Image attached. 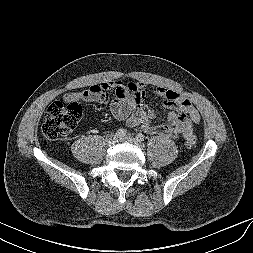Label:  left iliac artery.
I'll use <instances>...</instances> for the list:
<instances>
[{"mask_svg": "<svg viewBox=\"0 0 253 253\" xmlns=\"http://www.w3.org/2000/svg\"><path fill=\"white\" fill-rule=\"evenodd\" d=\"M136 139L139 141V142H143L144 139H145V136L142 134V133H138L136 135Z\"/></svg>", "mask_w": 253, "mask_h": 253, "instance_id": "left-iliac-artery-1", "label": "left iliac artery"}]
</instances>
